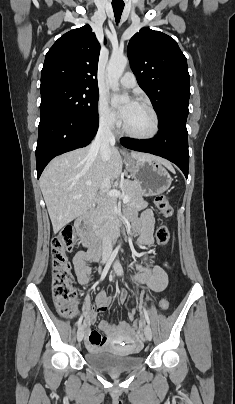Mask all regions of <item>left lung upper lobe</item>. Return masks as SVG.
<instances>
[{
    "instance_id": "obj_1",
    "label": "left lung upper lobe",
    "mask_w": 235,
    "mask_h": 404,
    "mask_svg": "<svg viewBox=\"0 0 235 404\" xmlns=\"http://www.w3.org/2000/svg\"><path fill=\"white\" fill-rule=\"evenodd\" d=\"M127 53L139 86L159 115V127L174 121L186 123L190 76L177 42L160 31L142 28L130 39Z\"/></svg>"
}]
</instances>
